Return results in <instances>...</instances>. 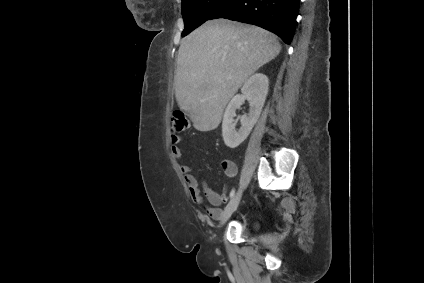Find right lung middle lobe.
Here are the masks:
<instances>
[{
    "instance_id": "right-lung-middle-lobe-1",
    "label": "right lung middle lobe",
    "mask_w": 424,
    "mask_h": 283,
    "mask_svg": "<svg viewBox=\"0 0 424 283\" xmlns=\"http://www.w3.org/2000/svg\"><path fill=\"white\" fill-rule=\"evenodd\" d=\"M228 0H182V37L209 20Z\"/></svg>"
}]
</instances>
